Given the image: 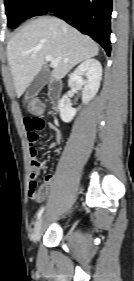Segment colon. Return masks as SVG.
I'll use <instances>...</instances> for the list:
<instances>
[{
    "label": "colon",
    "mask_w": 134,
    "mask_h": 281,
    "mask_svg": "<svg viewBox=\"0 0 134 281\" xmlns=\"http://www.w3.org/2000/svg\"><path fill=\"white\" fill-rule=\"evenodd\" d=\"M43 104L39 101H32L29 104V111L32 113H41L43 111ZM45 189L36 181H31L29 186L30 197L35 201H41L44 197Z\"/></svg>",
    "instance_id": "1"
}]
</instances>
